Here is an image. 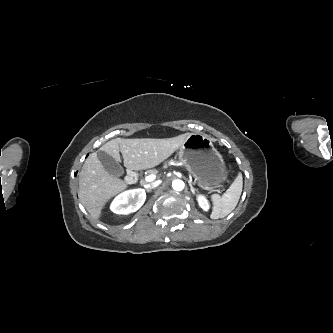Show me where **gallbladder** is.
<instances>
[{
	"label": "gallbladder",
	"instance_id": "obj_1",
	"mask_svg": "<svg viewBox=\"0 0 333 333\" xmlns=\"http://www.w3.org/2000/svg\"><path fill=\"white\" fill-rule=\"evenodd\" d=\"M97 157L110 175L116 177L123 175V167L111 155L104 151L98 150Z\"/></svg>",
	"mask_w": 333,
	"mask_h": 333
}]
</instances>
